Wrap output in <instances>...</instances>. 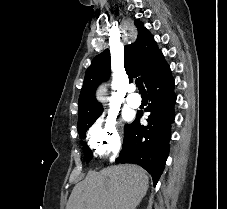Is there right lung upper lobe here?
<instances>
[{"label":"right lung upper lobe","instance_id":"right-lung-upper-lobe-1","mask_svg":"<svg viewBox=\"0 0 227 209\" xmlns=\"http://www.w3.org/2000/svg\"><path fill=\"white\" fill-rule=\"evenodd\" d=\"M138 36L134 43L124 48V67L129 78L141 76L145 85L165 63L164 56L158 49L153 36L139 20L134 21ZM110 53L106 49L97 55L88 67L81 89L78 116L101 114L102 106L95 100L97 86L110 76Z\"/></svg>","mask_w":227,"mask_h":209}]
</instances>
